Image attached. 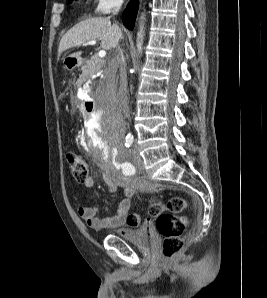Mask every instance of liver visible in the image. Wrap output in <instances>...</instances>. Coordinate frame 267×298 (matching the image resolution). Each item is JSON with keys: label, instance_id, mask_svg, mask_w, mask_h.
<instances>
[{"label": "liver", "instance_id": "liver-1", "mask_svg": "<svg viewBox=\"0 0 267 298\" xmlns=\"http://www.w3.org/2000/svg\"><path fill=\"white\" fill-rule=\"evenodd\" d=\"M122 30L117 24H111L109 18L94 17L83 20L67 31L58 47V54L72 47H79L91 40H101V47L109 50L118 45ZM81 51L69 55L80 58Z\"/></svg>", "mask_w": 267, "mask_h": 298}]
</instances>
